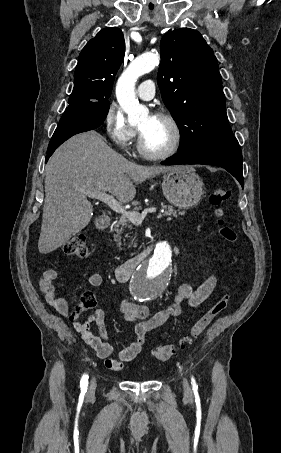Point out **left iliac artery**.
<instances>
[{
	"mask_svg": "<svg viewBox=\"0 0 281 453\" xmlns=\"http://www.w3.org/2000/svg\"><path fill=\"white\" fill-rule=\"evenodd\" d=\"M191 384H192V386H193V388H192V389H193V391H197V389H198V385H196L194 378H192V382H191Z\"/></svg>",
	"mask_w": 281,
	"mask_h": 453,
	"instance_id": "44dca946",
	"label": "left iliac artery"
}]
</instances>
